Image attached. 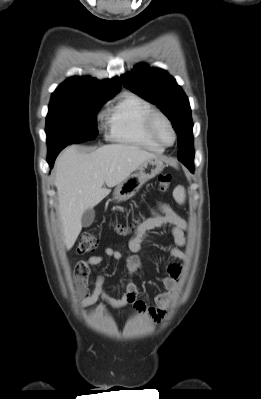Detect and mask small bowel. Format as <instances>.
I'll use <instances>...</instances> for the list:
<instances>
[{
    "instance_id": "small-bowel-1",
    "label": "small bowel",
    "mask_w": 261,
    "mask_h": 399,
    "mask_svg": "<svg viewBox=\"0 0 261 399\" xmlns=\"http://www.w3.org/2000/svg\"><path fill=\"white\" fill-rule=\"evenodd\" d=\"M165 226H170L169 233L175 246L168 249L170 259L164 261L167 274L158 278L166 292L155 296V306H148L144 300L139 298L140 290L134 279L126 282L125 292L119 298L106 293L107 282L103 275H99L93 281V290L90 291L88 285L91 279V267L102 264L104 261L103 255H93L86 260L78 261L75 266L74 279L81 305L83 307L92 306L102 299L103 302L97 305V312L102 315L106 312L105 303L115 308L132 304L137 315L147 316L155 323L161 322L166 316L169 304L177 294L183 273V264L187 260V255L182 250L186 244L184 234L186 222L169 205L162 203L159 206V212L152 213L149 218L144 220L130 238L128 247L132 252L131 254H125L110 247L105 249V256L115 261H124L128 274L134 278L142 269L141 257L137 253L142 250L143 242L149 233Z\"/></svg>"
}]
</instances>
